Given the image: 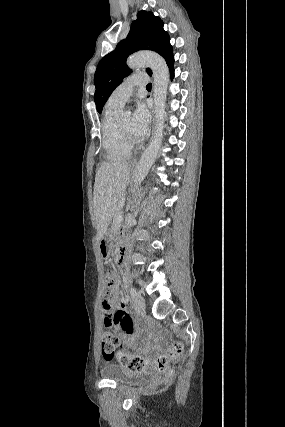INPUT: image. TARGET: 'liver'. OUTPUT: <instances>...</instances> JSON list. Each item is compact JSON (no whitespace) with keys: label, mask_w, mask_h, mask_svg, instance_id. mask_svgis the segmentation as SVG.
<instances>
[{"label":"liver","mask_w":285,"mask_h":427,"mask_svg":"<svg viewBox=\"0 0 285 427\" xmlns=\"http://www.w3.org/2000/svg\"><path fill=\"white\" fill-rule=\"evenodd\" d=\"M127 162L102 164L95 176L93 204L99 238L106 233L130 179Z\"/></svg>","instance_id":"6515ba94"}]
</instances>
